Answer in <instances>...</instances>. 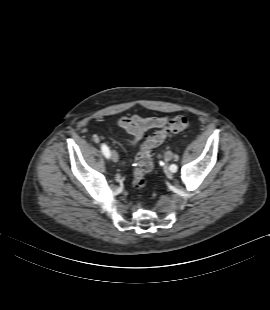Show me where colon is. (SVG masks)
I'll use <instances>...</instances> for the list:
<instances>
[{
    "label": "colon",
    "mask_w": 270,
    "mask_h": 310,
    "mask_svg": "<svg viewBox=\"0 0 270 310\" xmlns=\"http://www.w3.org/2000/svg\"><path fill=\"white\" fill-rule=\"evenodd\" d=\"M189 120L182 115L172 118L165 127L157 131L140 146L134 165L132 184L137 189H143L147 184V175L153 169L152 149L161 145L168 135L186 130Z\"/></svg>",
    "instance_id": "5ec220e1"
}]
</instances>
